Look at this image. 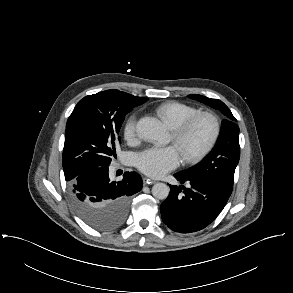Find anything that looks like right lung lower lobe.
<instances>
[{
  "label": "right lung lower lobe",
  "instance_id": "1",
  "mask_svg": "<svg viewBox=\"0 0 293 293\" xmlns=\"http://www.w3.org/2000/svg\"><path fill=\"white\" fill-rule=\"evenodd\" d=\"M108 170V166H100L83 171L71 185V193L81 202L77 207L86 213L118 214L124 222L130 196L142 189V178L135 172H125L121 181H113Z\"/></svg>",
  "mask_w": 293,
  "mask_h": 293
}]
</instances>
